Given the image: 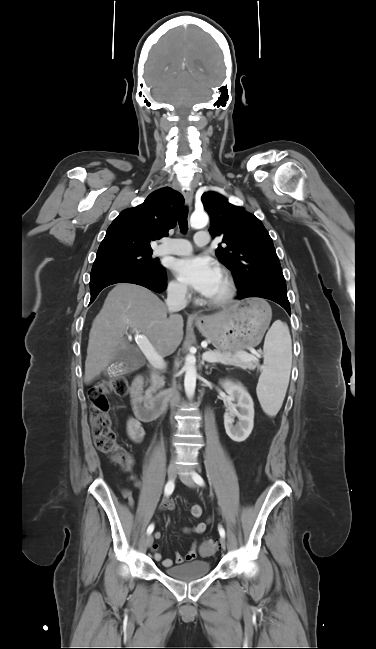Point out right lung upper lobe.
I'll return each instance as SVG.
<instances>
[{"label": "right lung upper lobe", "mask_w": 376, "mask_h": 649, "mask_svg": "<svg viewBox=\"0 0 376 649\" xmlns=\"http://www.w3.org/2000/svg\"><path fill=\"white\" fill-rule=\"evenodd\" d=\"M183 204V196L169 187L154 191L141 205L119 214L107 229L97 254L152 251L150 241L168 236Z\"/></svg>", "instance_id": "obj_1"}]
</instances>
